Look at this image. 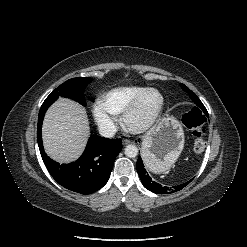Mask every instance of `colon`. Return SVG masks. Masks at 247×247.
I'll return each mask as SVG.
<instances>
[{
  "label": "colon",
  "mask_w": 247,
  "mask_h": 247,
  "mask_svg": "<svg viewBox=\"0 0 247 247\" xmlns=\"http://www.w3.org/2000/svg\"><path fill=\"white\" fill-rule=\"evenodd\" d=\"M204 115L203 113L198 109H192L182 116V122L183 124L190 130H192L194 142H193V148L194 151L197 153H201L206 148V141L204 138Z\"/></svg>",
  "instance_id": "1"
}]
</instances>
